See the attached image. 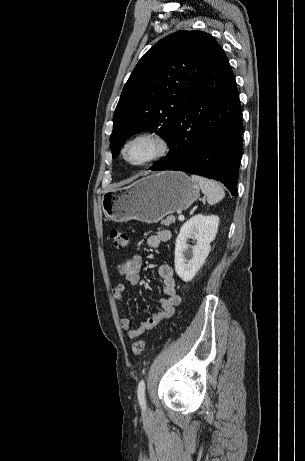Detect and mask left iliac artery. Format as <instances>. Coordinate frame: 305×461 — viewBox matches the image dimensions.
<instances>
[{
	"label": "left iliac artery",
	"mask_w": 305,
	"mask_h": 461,
	"mask_svg": "<svg viewBox=\"0 0 305 461\" xmlns=\"http://www.w3.org/2000/svg\"><path fill=\"white\" fill-rule=\"evenodd\" d=\"M138 400L143 409L146 407V400H145V381L141 380L138 385L137 389Z\"/></svg>",
	"instance_id": "1"
}]
</instances>
